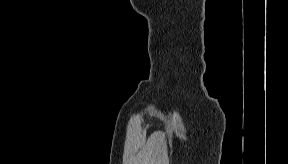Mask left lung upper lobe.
<instances>
[{
	"label": "left lung upper lobe",
	"mask_w": 288,
	"mask_h": 164,
	"mask_svg": "<svg viewBox=\"0 0 288 164\" xmlns=\"http://www.w3.org/2000/svg\"><path fill=\"white\" fill-rule=\"evenodd\" d=\"M220 81H221V82H223V81H224V79H223V78H221V79H220Z\"/></svg>",
	"instance_id": "1"
}]
</instances>
